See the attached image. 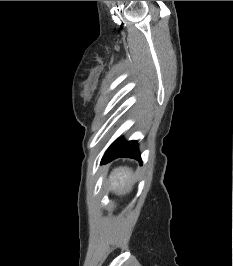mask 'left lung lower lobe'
<instances>
[{"mask_svg": "<svg viewBox=\"0 0 233 266\" xmlns=\"http://www.w3.org/2000/svg\"><path fill=\"white\" fill-rule=\"evenodd\" d=\"M118 157H129L141 161L137 141H124L123 138L116 140L106 151L101 163H106Z\"/></svg>", "mask_w": 233, "mask_h": 266, "instance_id": "1", "label": "left lung lower lobe"}]
</instances>
